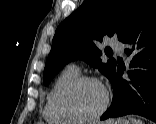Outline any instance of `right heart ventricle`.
Here are the masks:
<instances>
[{
	"mask_svg": "<svg viewBox=\"0 0 156 124\" xmlns=\"http://www.w3.org/2000/svg\"><path fill=\"white\" fill-rule=\"evenodd\" d=\"M79 76V71L67 66L51 84L43 106L44 119L50 124H72L70 118L61 113L58 108L57 99L60 91L70 81Z\"/></svg>",
	"mask_w": 156,
	"mask_h": 124,
	"instance_id": "obj_1",
	"label": "right heart ventricle"
}]
</instances>
